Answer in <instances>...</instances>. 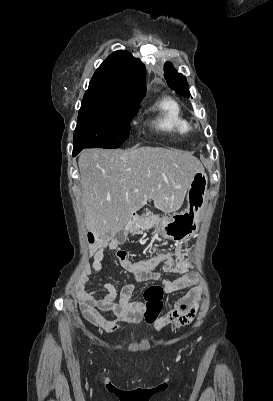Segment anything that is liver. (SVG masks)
I'll return each mask as SVG.
<instances>
[{"label": "liver", "instance_id": "obj_1", "mask_svg": "<svg viewBox=\"0 0 273 401\" xmlns=\"http://www.w3.org/2000/svg\"><path fill=\"white\" fill-rule=\"evenodd\" d=\"M85 225L97 243L112 241L149 198L165 215L178 211L199 158L187 150L140 146L85 148L78 160Z\"/></svg>", "mask_w": 273, "mask_h": 401}]
</instances>
